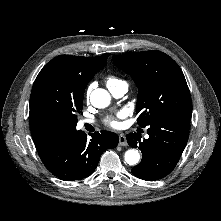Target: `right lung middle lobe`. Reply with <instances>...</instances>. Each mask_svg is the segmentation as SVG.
<instances>
[{
  "mask_svg": "<svg viewBox=\"0 0 221 221\" xmlns=\"http://www.w3.org/2000/svg\"><path fill=\"white\" fill-rule=\"evenodd\" d=\"M89 80L79 74L76 57L61 55L38 74L30 96V123L75 131Z\"/></svg>",
  "mask_w": 221,
  "mask_h": 221,
  "instance_id": "obj_1",
  "label": "right lung middle lobe"
}]
</instances>
